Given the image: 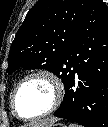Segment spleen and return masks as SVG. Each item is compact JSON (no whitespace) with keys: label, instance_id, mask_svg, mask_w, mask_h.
<instances>
[{"label":"spleen","instance_id":"1","mask_svg":"<svg viewBox=\"0 0 108 127\" xmlns=\"http://www.w3.org/2000/svg\"><path fill=\"white\" fill-rule=\"evenodd\" d=\"M69 127H82V126H81V125H78V124L71 123V124L69 125Z\"/></svg>","mask_w":108,"mask_h":127}]
</instances>
